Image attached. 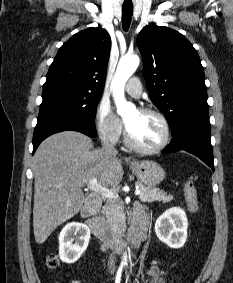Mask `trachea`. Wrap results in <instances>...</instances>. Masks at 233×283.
I'll use <instances>...</instances> for the list:
<instances>
[{
  "mask_svg": "<svg viewBox=\"0 0 233 283\" xmlns=\"http://www.w3.org/2000/svg\"><path fill=\"white\" fill-rule=\"evenodd\" d=\"M132 15H133V6L122 7V26L125 31L129 29Z\"/></svg>",
  "mask_w": 233,
  "mask_h": 283,
  "instance_id": "3493384b",
  "label": "trachea"
}]
</instances>
